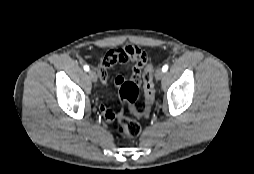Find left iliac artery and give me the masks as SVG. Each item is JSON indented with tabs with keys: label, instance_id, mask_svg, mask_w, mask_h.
Masks as SVG:
<instances>
[{
	"label": "left iliac artery",
	"instance_id": "obj_1",
	"mask_svg": "<svg viewBox=\"0 0 254 174\" xmlns=\"http://www.w3.org/2000/svg\"><path fill=\"white\" fill-rule=\"evenodd\" d=\"M168 70V65H164L163 67H162V71L163 72H166Z\"/></svg>",
	"mask_w": 254,
	"mask_h": 174
}]
</instances>
